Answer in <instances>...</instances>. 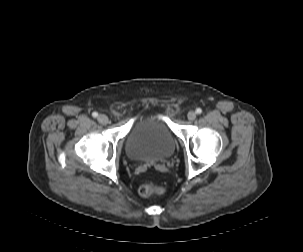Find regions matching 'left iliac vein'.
<instances>
[{"mask_svg":"<svg viewBox=\"0 0 303 252\" xmlns=\"http://www.w3.org/2000/svg\"><path fill=\"white\" fill-rule=\"evenodd\" d=\"M187 118H188L190 121L195 120V119H196V112H194V111L188 112Z\"/></svg>","mask_w":303,"mask_h":252,"instance_id":"obj_1","label":"left iliac vein"}]
</instances>
